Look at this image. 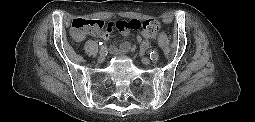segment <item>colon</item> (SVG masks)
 Returning a JSON list of instances; mask_svg holds the SVG:
<instances>
[{"instance_id":"5ec220e1","label":"colon","mask_w":255,"mask_h":122,"mask_svg":"<svg viewBox=\"0 0 255 122\" xmlns=\"http://www.w3.org/2000/svg\"><path fill=\"white\" fill-rule=\"evenodd\" d=\"M114 27L118 29L128 28L129 30H139L143 35L147 37H153L160 29V23L157 20H129V21H117L106 23L99 19H84L77 18L72 22L71 33L72 36L79 40L83 37L86 31H103L111 30Z\"/></svg>"}]
</instances>
